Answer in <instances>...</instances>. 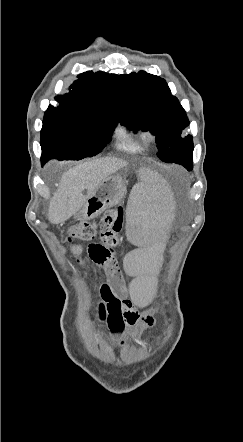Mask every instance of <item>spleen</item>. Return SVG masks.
<instances>
[{
	"label": "spleen",
	"instance_id": "spleen-1",
	"mask_svg": "<svg viewBox=\"0 0 243 442\" xmlns=\"http://www.w3.org/2000/svg\"><path fill=\"white\" fill-rule=\"evenodd\" d=\"M167 178H160L153 169H140L139 183H133L131 193H126V237L136 242L142 254H131L127 259L129 274H135L137 282L128 288V295L134 296L136 307H149L155 302L156 291L160 285V274L171 235L166 226H176L177 219L172 217L175 200L168 189Z\"/></svg>",
	"mask_w": 243,
	"mask_h": 442
}]
</instances>
